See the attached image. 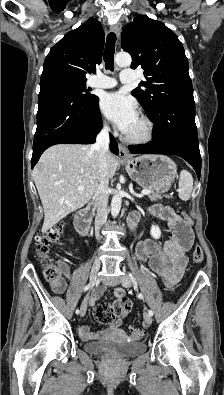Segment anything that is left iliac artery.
Instances as JSON below:
<instances>
[{
	"label": "left iliac artery",
	"instance_id": "left-iliac-artery-1",
	"mask_svg": "<svg viewBox=\"0 0 224 395\" xmlns=\"http://www.w3.org/2000/svg\"><path fill=\"white\" fill-rule=\"evenodd\" d=\"M129 277H130L131 279H134V277H133V275H132L131 273H129ZM138 297H139L140 299H144V296H143L142 293H139ZM148 314H149L150 316H153V311H152V310H149V311H148Z\"/></svg>",
	"mask_w": 224,
	"mask_h": 395
}]
</instances>
